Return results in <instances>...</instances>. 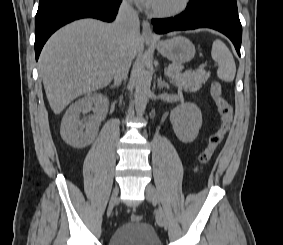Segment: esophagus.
Wrapping results in <instances>:
<instances>
[{"mask_svg":"<svg viewBox=\"0 0 283 245\" xmlns=\"http://www.w3.org/2000/svg\"><path fill=\"white\" fill-rule=\"evenodd\" d=\"M142 38L145 41H156L157 40L156 36L153 34L151 25L149 21L147 20H143L142 22Z\"/></svg>","mask_w":283,"mask_h":245,"instance_id":"1","label":"esophagus"}]
</instances>
